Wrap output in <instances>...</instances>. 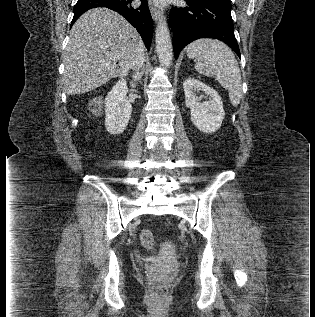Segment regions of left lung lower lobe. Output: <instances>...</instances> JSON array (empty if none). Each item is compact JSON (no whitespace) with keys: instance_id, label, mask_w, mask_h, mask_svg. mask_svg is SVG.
<instances>
[{"instance_id":"0a47b994","label":"left lung lower lobe","mask_w":315,"mask_h":317,"mask_svg":"<svg viewBox=\"0 0 315 317\" xmlns=\"http://www.w3.org/2000/svg\"><path fill=\"white\" fill-rule=\"evenodd\" d=\"M185 1L187 7L172 8L170 11L175 58L187 44L199 38L219 39L241 57L234 35L231 4L217 0Z\"/></svg>"}]
</instances>
